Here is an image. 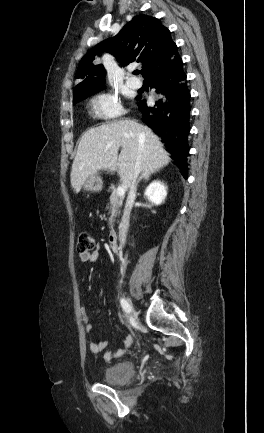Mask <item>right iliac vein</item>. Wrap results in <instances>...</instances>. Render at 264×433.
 Returning a JSON list of instances; mask_svg holds the SVG:
<instances>
[{
	"mask_svg": "<svg viewBox=\"0 0 264 433\" xmlns=\"http://www.w3.org/2000/svg\"><path fill=\"white\" fill-rule=\"evenodd\" d=\"M127 302H128V304H129V307H130V313H131V316H132V318H133L134 320H136V319L138 318V315H137V312H136V310H135V308H134V306H133V304H132L131 299L128 298V299H127Z\"/></svg>",
	"mask_w": 264,
	"mask_h": 433,
	"instance_id": "obj_1",
	"label": "right iliac vein"
}]
</instances>
